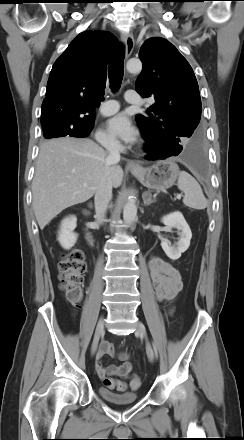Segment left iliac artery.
<instances>
[{
    "label": "left iliac artery",
    "instance_id": "obj_1",
    "mask_svg": "<svg viewBox=\"0 0 244 440\" xmlns=\"http://www.w3.org/2000/svg\"><path fill=\"white\" fill-rule=\"evenodd\" d=\"M154 352H155L156 358H158V353H157V349L155 348V346H154Z\"/></svg>",
    "mask_w": 244,
    "mask_h": 440
}]
</instances>
